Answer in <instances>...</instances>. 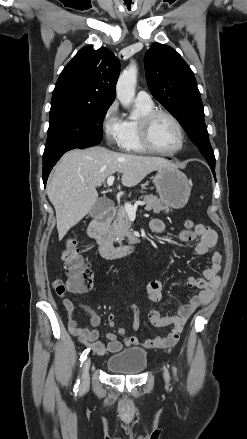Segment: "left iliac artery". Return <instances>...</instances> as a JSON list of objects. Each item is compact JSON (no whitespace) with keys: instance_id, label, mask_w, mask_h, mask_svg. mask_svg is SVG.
Here are the masks:
<instances>
[{"instance_id":"left-iliac-artery-1","label":"left iliac artery","mask_w":247,"mask_h":439,"mask_svg":"<svg viewBox=\"0 0 247 439\" xmlns=\"http://www.w3.org/2000/svg\"><path fill=\"white\" fill-rule=\"evenodd\" d=\"M173 371H174V374L176 373V369H175V367H173Z\"/></svg>"}]
</instances>
